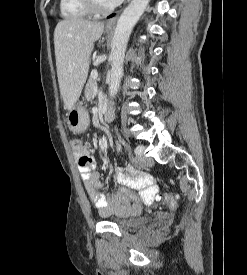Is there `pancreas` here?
I'll use <instances>...</instances> for the list:
<instances>
[{"mask_svg":"<svg viewBox=\"0 0 247 275\" xmlns=\"http://www.w3.org/2000/svg\"><path fill=\"white\" fill-rule=\"evenodd\" d=\"M96 86V80L95 78L91 75L87 84H86V87H85V98L90 101L93 97V90Z\"/></svg>","mask_w":247,"mask_h":275,"instance_id":"obj_1","label":"pancreas"}]
</instances>
